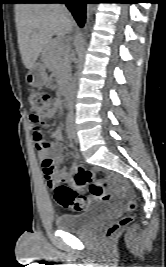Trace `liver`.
Here are the masks:
<instances>
[{
    "instance_id": "6515ba94",
    "label": "liver",
    "mask_w": 166,
    "mask_h": 267,
    "mask_svg": "<svg viewBox=\"0 0 166 267\" xmlns=\"http://www.w3.org/2000/svg\"><path fill=\"white\" fill-rule=\"evenodd\" d=\"M19 51L24 66L30 69L54 35L69 33L74 21L58 4L19 3L15 6Z\"/></svg>"
}]
</instances>
